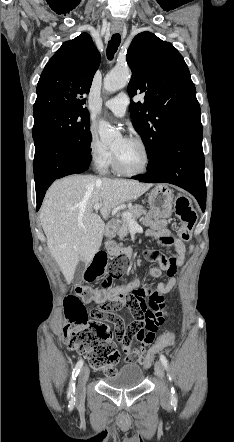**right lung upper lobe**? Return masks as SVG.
Wrapping results in <instances>:
<instances>
[{
    "label": "right lung upper lobe",
    "mask_w": 234,
    "mask_h": 442,
    "mask_svg": "<svg viewBox=\"0 0 234 442\" xmlns=\"http://www.w3.org/2000/svg\"><path fill=\"white\" fill-rule=\"evenodd\" d=\"M99 64L100 54L89 34L82 33L63 43L40 76L34 116L55 110L86 109L83 95L89 93Z\"/></svg>",
    "instance_id": "obj_1"
}]
</instances>
